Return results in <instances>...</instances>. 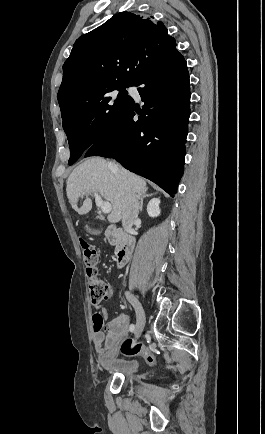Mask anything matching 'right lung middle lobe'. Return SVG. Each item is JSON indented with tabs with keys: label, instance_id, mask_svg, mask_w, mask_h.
Listing matches in <instances>:
<instances>
[{
	"label": "right lung middle lobe",
	"instance_id": "obj_1",
	"mask_svg": "<svg viewBox=\"0 0 265 434\" xmlns=\"http://www.w3.org/2000/svg\"><path fill=\"white\" fill-rule=\"evenodd\" d=\"M132 81L106 79L58 98L70 147L69 165L109 133L133 104Z\"/></svg>",
	"mask_w": 265,
	"mask_h": 434
}]
</instances>
